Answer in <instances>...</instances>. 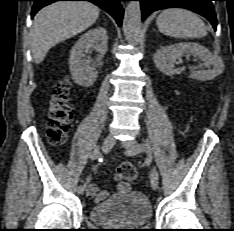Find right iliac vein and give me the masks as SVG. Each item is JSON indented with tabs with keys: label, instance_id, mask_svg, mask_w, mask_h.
I'll return each instance as SVG.
<instances>
[{
	"label": "right iliac vein",
	"instance_id": "63e3f726",
	"mask_svg": "<svg viewBox=\"0 0 234 231\" xmlns=\"http://www.w3.org/2000/svg\"><path fill=\"white\" fill-rule=\"evenodd\" d=\"M114 144H115L114 136L112 134L107 135L103 141L102 151L104 153H108L113 148ZM77 193L82 195L84 193V188L79 186L77 188Z\"/></svg>",
	"mask_w": 234,
	"mask_h": 231
}]
</instances>
